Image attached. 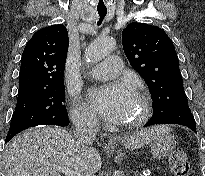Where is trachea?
Wrapping results in <instances>:
<instances>
[{
  "label": "trachea",
  "instance_id": "1",
  "mask_svg": "<svg viewBox=\"0 0 205 176\" xmlns=\"http://www.w3.org/2000/svg\"><path fill=\"white\" fill-rule=\"evenodd\" d=\"M98 11V22H97V25L99 26V25H101L102 24V22H103V20H104V18H105V16H106V14H107V10H97Z\"/></svg>",
  "mask_w": 205,
  "mask_h": 176
}]
</instances>
